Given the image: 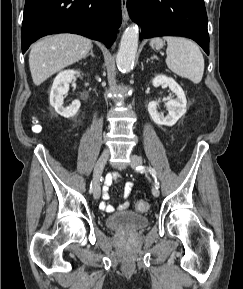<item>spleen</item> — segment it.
<instances>
[{
	"instance_id": "obj_1",
	"label": "spleen",
	"mask_w": 243,
	"mask_h": 289,
	"mask_svg": "<svg viewBox=\"0 0 243 289\" xmlns=\"http://www.w3.org/2000/svg\"><path fill=\"white\" fill-rule=\"evenodd\" d=\"M167 41L168 68L180 77L200 83L204 73V58L199 47L183 37H164Z\"/></svg>"
}]
</instances>
